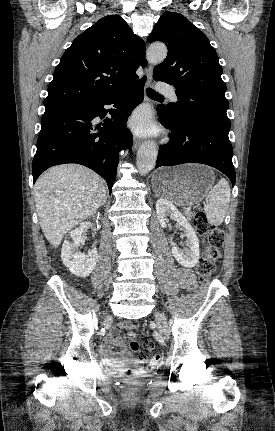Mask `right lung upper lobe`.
<instances>
[{
  "mask_svg": "<svg viewBox=\"0 0 275 431\" xmlns=\"http://www.w3.org/2000/svg\"><path fill=\"white\" fill-rule=\"evenodd\" d=\"M145 44L119 15L101 18L65 51L48 87L45 108L103 98L138 80Z\"/></svg>",
  "mask_w": 275,
  "mask_h": 431,
  "instance_id": "1",
  "label": "right lung upper lobe"
}]
</instances>
